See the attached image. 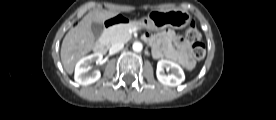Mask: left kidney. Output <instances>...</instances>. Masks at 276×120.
<instances>
[{
    "instance_id": "5707ae66",
    "label": "left kidney",
    "mask_w": 276,
    "mask_h": 120,
    "mask_svg": "<svg viewBox=\"0 0 276 120\" xmlns=\"http://www.w3.org/2000/svg\"><path fill=\"white\" fill-rule=\"evenodd\" d=\"M171 70V74H165L164 70ZM157 79L160 83L167 86H178L185 80V75L182 68L169 60H159L156 70Z\"/></svg>"
}]
</instances>
